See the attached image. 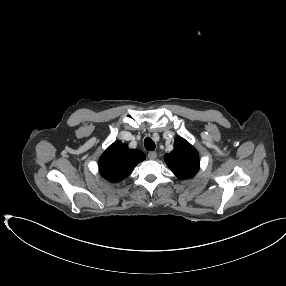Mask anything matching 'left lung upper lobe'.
<instances>
[{"mask_svg":"<svg viewBox=\"0 0 286 286\" xmlns=\"http://www.w3.org/2000/svg\"><path fill=\"white\" fill-rule=\"evenodd\" d=\"M164 160L180 179L193 177L199 169L197 150L181 137L175 139L173 151L166 154Z\"/></svg>","mask_w":286,"mask_h":286,"instance_id":"1","label":"left lung upper lobe"}]
</instances>
